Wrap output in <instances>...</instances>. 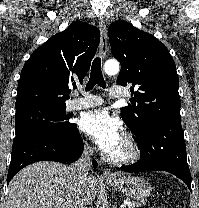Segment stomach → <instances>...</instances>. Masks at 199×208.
<instances>
[{
	"label": "stomach",
	"mask_w": 199,
	"mask_h": 208,
	"mask_svg": "<svg viewBox=\"0 0 199 208\" xmlns=\"http://www.w3.org/2000/svg\"><path fill=\"white\" fill-rule=\"evenodd\" d=\"M106 183L133 200H143L147 198L151 192L150 184L140 177H122L114 181H106Z\"/></svg>",
	"instance_id": "obj_1"
}]
</instances>
